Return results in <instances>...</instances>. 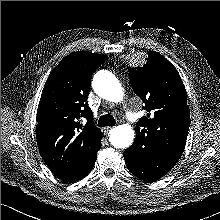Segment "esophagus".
I'll use <instances>...</instances> for the list:
<instances>
[{
    "mask_svg": "<svg viewBox=\"0 0 220 220\" xmlns=\"http://www.w3.org/2000/svg\"><path fill=\"white\" fill-rule=\"evenodd\" d=\"M114 128V126H108L106 128H104V132L108 133L110 130H112Z\"/></svg>",
    "mask_w": 220,
    "mask_h": 220,
    "instance_id": "34e87169",
    "label": "esophagus"
}]
</instances>
